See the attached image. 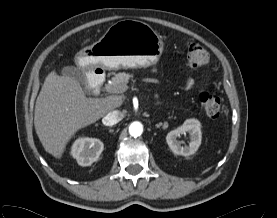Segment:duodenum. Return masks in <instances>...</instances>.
Here are the masks:
<instances>
[{"label":"duodenum","mask_w":277,"mask_h":218,"mask_svg":"<svg viewBox=\"0 0 277 218\" xmlns=\"http://www.w3.org/2000/svg\"><path fill=\"white\" fill-rule=\"evenodd\" d=\"M104 78H105V72L102 69L100 68L93 69L87 77L89 89L93 93L98 92L104 82Z\"/></svg>","instance_id":"obj_1"}]
</instances>
